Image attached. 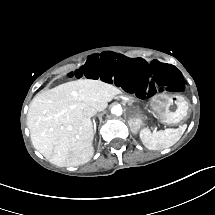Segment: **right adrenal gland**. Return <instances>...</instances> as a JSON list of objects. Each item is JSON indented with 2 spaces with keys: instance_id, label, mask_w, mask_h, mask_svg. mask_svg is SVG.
Wrapping results in <instances>:
<instances>
[{
  "instance_id": "right-adrenal-gland-1",
  "label": "right adrenal gland",
  "mask_w": 215,
  "mask_h": 215,
  "mask_svg": "<svg viewBox=\"0 0 215 215\" xmlns=\"http://www.w3.org/2000/svg\"><path fill=\"white\" fill-rule=\"evenodd\" d=\"M92 122H93V127H94V132L93 133L96 135V123H95V120L93 119Z\"/></svg>"
}]
</instances>
